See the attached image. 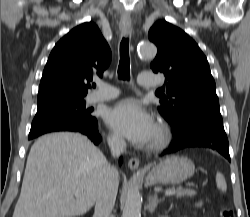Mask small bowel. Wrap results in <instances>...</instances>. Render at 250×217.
Listing matches in <instances>:
<instances>
[{"label":"small bowel","instance_id":"obj_1","mask_svg":"<svg viewBox=\"0 0 250 217\" xmlns=\"http://www.w3.org/2000/svg\"><path fill=\"white\" fill-rule=\"evenodd\" d=\"M201 205H202L201 203H197L196 204L197 207H201Z\"/></svg>","mask_w":250,"mask_h":217}]
</instances>
